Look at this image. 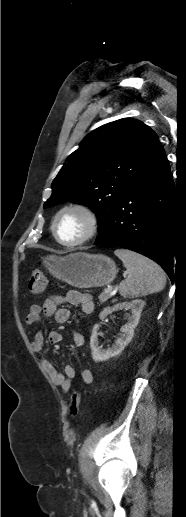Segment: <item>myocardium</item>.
I'll list each match as a JSON object with an SVG mask.
<instances>
[{
    "label": "myocardium",
    "instance_id": "myocardium-1",
    "mask_svg": "<svg viewBox=\"0 0 186 517\" xmlns=\"http://www.w3.org/2000/svg\"><path fill=\"white\" fill-rule=\"evenodd\" d=\"M66 212H77V213L81 214L84 217L86 224H87L86 230L83 233V235L80 236L77 240L72 241V242L62 241L58 237L57 232H56L57 221L60 218V216ZM98 228H99V219H98L96 212L88 205L79 203V202L70 203V204H67V205L63 206L62 208H60L54 215L52 223H51V231H52V234H53L55 240L60 245L65 246V247H77L79 245L84 244L97 233Z\"/></svg>",
    "mask_w": 186,
    "mask_h": 517
}]
</instances>
